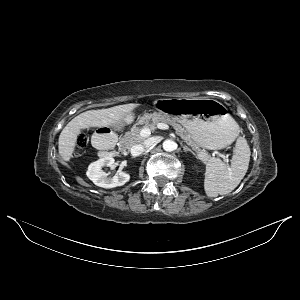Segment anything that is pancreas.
<instances>
[{
	"mask_svg": "<svg viewBox=\"0 0 300 300\" xmlns=\"http://www.w3.org/2000/svg\"><path fill=\"white\" fill-rule=\"evenodd\" d=\"M158 123H168L176 131V133L188 143L196 152L200 160L207 162L211 159L210 155L205 149H201L200 146L191 138L187 131L179 124L174 118L167 115H155L150 116L146 114L142 117L138 124L134 125L131 130L120 139V148L126 150L131 148L133 145L143 142L144 137L140 135L142 128L137 125H144L143 128H149L150 131H154Z\"/></svg>",
	"mask_w": 300,
	"mask_h": 300,
	"instance_id": "1",
	"label": "pancreas"
}]
</instances>
